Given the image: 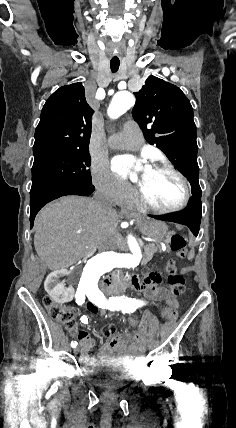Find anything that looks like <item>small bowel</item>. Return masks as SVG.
<instances>
[{
	"mask_svg": "<svg viewBox=\"0 0 236 428\" xmlns=\"http://www.w3.org/2000/svg\"><path fill=\"white\" fill-rule=\"evenodd\" d=\"M160 283V276L151 273L143 279H138L133 289L142 292L150 304L165 300L170 306H176V299L160 286ZM100 313L105 315L106 310L101 309ZM145 330L146 328L143 326L137 333L120 334L117 333L114 325L104 326L102 334L108 340L99 349L98 356L90 354L94 345L93 339L86 331L80 330L77 332V338L82 347L80 359L83 364L90 367H95L102 360H136L142 356L144 350Z\"/></svg>",
	"mask_w": 236,
	"mask_h": 428,
	"instance_id": "obj_1",
	"label": "small bowel"
}]
</instances>
